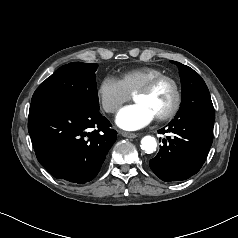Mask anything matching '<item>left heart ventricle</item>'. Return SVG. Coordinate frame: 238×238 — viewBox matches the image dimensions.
<instances>
[{
  "mask_svg": "<svg viewBox=\"0 0 238 238\" xmlns=\"http://www.w3.org/2000/svg\"><path fill=\"white\" fill-rule=\"evenodd\" d=\"M174 100V89L167 81L160 83L148 94L134 97L136 103L145 105L154 113L155 117L167 113L173 106Z\"/></svg>",
  "mask_w": 238,
  "mask_h": 238,
  "instance_id": "left-heart-ventricle-1",
  "label": "left heart ventricle"
}]
</instances>
